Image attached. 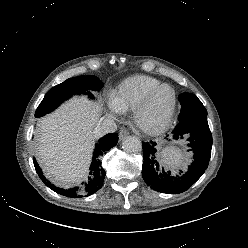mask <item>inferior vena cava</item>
<instances>
[{
	"instance_id": "1",
	"label": "inferior vena cava",
	"mask_w": 248,
	"mask_h": 248,
	"mask_svg": "<svg viewBox=\"0 0 248 248\" xmlns=\"http://www.w3.org/2000/svg\"><path fill=\"white\" fill-rule=\"evenodd\" d=\"M117 125L112 118L102 117L96 124L93 135L94 137H101L107 133L115 132Z\"/></svg>"
}]
</instances>
